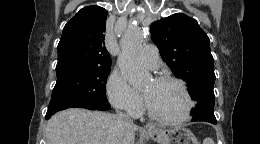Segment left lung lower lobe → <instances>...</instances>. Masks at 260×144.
Masks as SVG:
<instances>
[{
  "instance_id": "obj_1",
  "label": "left lung lower lobe",
  "mask_w": 260,
  "mask_h": 144,
  "mask_svg": "<svg viewBox=\"0 0 260 144\" xmlns=\"http://www.w3.org/2000/svg\"><path fill=\"white\" fill-rule=\"evenodd\" d=\"M209 122L212 123V124H216V120L209 121Z\"/></svg>"
}]
</instances>
